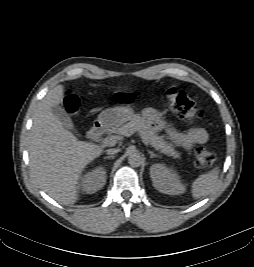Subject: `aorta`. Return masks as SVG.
Wrapping results in <instances>:
<instances>
[{"label":"aorta","mask_w":254,"mask_h":267,"mask_svg":"<svg viewBox=\"0 0 254 267\" xmlns=\"http://www.w3.org/2000/svg\"><path fill=\"white\" fill-rule=\"evenodd\" d=\"M128 163L132 167H139L142 163V156L135 149H130L128 155Z\"/></svg>","instance_id":"aorta-1"}]
</instances>
